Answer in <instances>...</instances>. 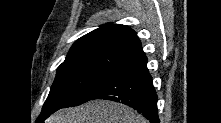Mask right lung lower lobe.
Wrapping results in <instances>:
<instances>
[{
	"label": "right lung lower lobe",
	"mask_w": 221,
	"mask_h": 123,
	"mask_svg": "<svg viewBox=\"0 0 221 123\" xmlns=\"http://www.w3.org/2000/svg\"><path fill=\"white\" fill-rule=\"evenodd\" d=\"M146 65L144 53L131 57L96 85L89 100L120 102L137 110L151 123H159L157 95ZM50 114L40 115V120Z\"/></svg>",
	"instance_id": "1"
}]
</instances>
